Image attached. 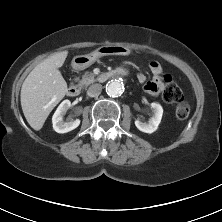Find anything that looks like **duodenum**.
Segmentation results:
<instances>
[{"instance_id": "obj_1", "label": "duodenum", "mask_w": 222, "mask_h": 222, "mask_svg": "<svg viewBox=\"0 0 222 222\" xmlns=\"http://www.w3.org/2000/svg\"><path fill=\"white\" fill-rule=\"evenodd\" d=\"M122 75H126V70L124 69H118V70H115L113 72H108V73H103L101 76H100V80H107L109 78H112V77H115V76H122ZM79 88L76 86V85H72L68 88V94L69 96L71 97H76L79 95Z\"/></svg>"}]
</instances>
